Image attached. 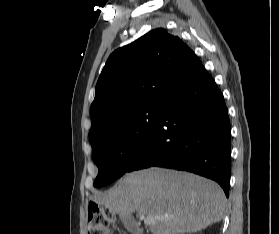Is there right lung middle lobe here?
Segmentation results:
<instances>
[{
    "instance_id": "obj_1",
    "label": "right lung middle lobe",
    "mask_w": 279,
    "mask_h": 234,
    "mask_svg": "<svg viewBox=\"0 0 279 234\" xmlns=\"http://www.w3.org/2000/svg\"><path fill=\"white\" fill-rule=\"evenodd\" d=\"M162 108H148L116 120L110 130L91 143L98 167L94 186L102 187L128 171L153 133Z\"/></svg>"
}]
</instances>
